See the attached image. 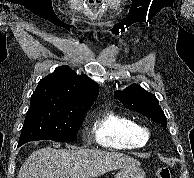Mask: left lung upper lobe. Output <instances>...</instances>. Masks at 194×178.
<instances>
[{
  "label": "left lung upper lobe",
  "mask_w": 194,
  "mask_h": 178,
  "mask_svg": "<svg viewBox=\"0 0 194 178\" xmlns=\"http://www.w3.org/2000/svg\"><path fill=\"white\" fill-rule=\"evenodd\" d=\"M114 95L126 108L141 113L166 127V117L154 94L134 84L123 91L114 92Z\"/></svg>",
  "instance_id": "left-lung-upper-lobe-1"
}]
</instances>
